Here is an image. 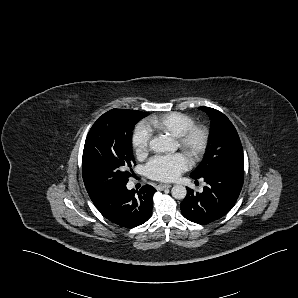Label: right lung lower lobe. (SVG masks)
Wrapping results in <instances>:
<instances>
[{
    "instance_id": "1",
    "label": "right lung lower lobe",
    "mask_w": 298,
    "mask_h": 298,
    "mask_svg": "<svg viewBox=\"0 0 298 298\" xmlns=\"http://www.w3.org/2000/svg\"><path fill=\"white\" fill-rule=\"evenodd\" d=\"M156 190L142 186L140 190H128L126 185L114 190L89 194L90 199L109 221L133 228L145 223L152 214L153 194ZM137 193V197L135 194Z\"/></svg>"
}]
</instances>
